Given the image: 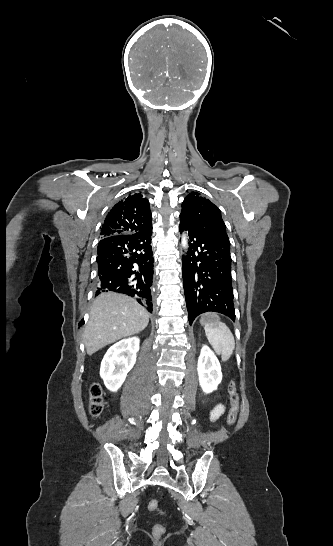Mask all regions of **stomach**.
<instances>
[{
  "mask_svg": "<svg viewBox=\"0 0 333 546\" xmlns=\"http://www.w3.org/2000/svg\"><path fill=\"white\" fill-rule=\"evenodd\" d=\"M211 320H213L212 315H204L201 318L200 322H201L202 325H205V323H207L208 321H211Z\"/></svg>",
  "mask_w": 333,
  "mask_h": 546,
  "instance_id": "0dacf381",
  "label": "stomach"
}]
</instances>
